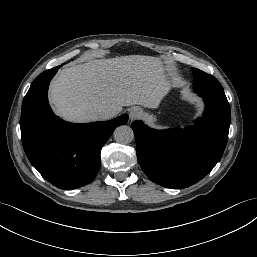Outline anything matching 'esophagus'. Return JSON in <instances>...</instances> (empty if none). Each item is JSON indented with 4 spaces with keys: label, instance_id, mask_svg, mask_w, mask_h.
Wrapping results in <instances>:
<instances>
[{
    "label": "esophagus",
    "instance_id": "esophagus-1",
    "mask_svg": "<svg viewBox=\"0 0 257 257\" xmlns=\"http://www.w3.org/2000/svg\"><path fill=\"white\" fill-rule=\"evenodd\" d=\"M141 116V111L138 108H132L129 112V119L134 121Z\"/></svg>",
    "mask_w": 257,
    "mask_h": 257
}]
</instances>
